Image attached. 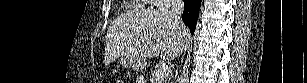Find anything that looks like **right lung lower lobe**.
Returning <instances> with one entry per match:
<instances>
[{"instance_id":"obj_1","label":"right lung lower lobe","mask_w":307,"mask_h":83,"mask_svg":"<svg viewBox=\"0 0 307 83\" xmlns=\"http://www.w3.org/2000/svg\"><path fill=\"white\" fill-rule=\"evenodd\" d=\"M201 0H184V12L182 20L189 27L190 32L194 34L196 22L199 16V7Z\"/></svg>"}]
</instances>
